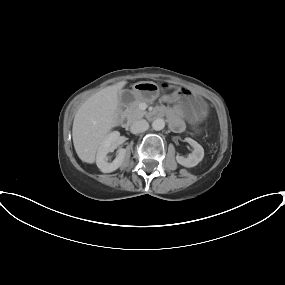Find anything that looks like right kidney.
<instances>
[{
	"instance_id": "ca27d5eb",
	"label": "right kidney",
	"mask_w": 285,
	"mask_h": 285,
	"mask_svg": "<svg viewBox=\"0 0 285 285\" xmlns=\"http://www.w3.org/2000/svg\"><path fill=\"white\" fill-rule=\"evenodd\" d=\"M119 138L120 133L118 131H113L108 134L107 138L98 148L96 164L103 173H110L117 170L124 162L126 149L119 148L117 150L116 158L111 163H108L107 154L115 149Z\"/></svg>"
}]
</instances>
